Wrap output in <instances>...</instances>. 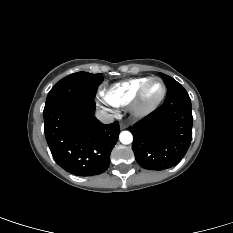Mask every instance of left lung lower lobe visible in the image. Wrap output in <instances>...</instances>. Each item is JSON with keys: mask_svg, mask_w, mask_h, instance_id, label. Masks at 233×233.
I'll list each match as a JSON object with an SVG mask.
<instances>
[{"mask_svg": "<svg viewBox=\"0 0 233 233\" xmlns=\"http://www.w3.org/2000/svg\"><path fill=\"white\" fill-rule=\"evenodd\" d=\"M191 100L182 87L159 108L129 127L138 164L149 170L168 169L186 154L192 140Z\"/></svg>", "mask_w": 233, "mask_h": 233, "instance_id": "1", "label": "left lung lower lobe"}]
</instances>
